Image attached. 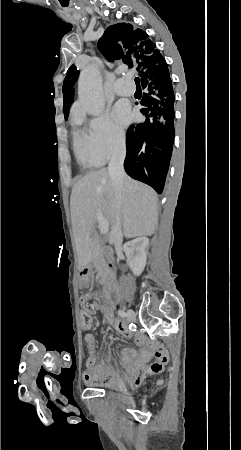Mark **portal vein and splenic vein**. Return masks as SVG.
<instances>
[{
  "mask_svg": "<svg viewBox=\"0 0 241 450\" xmlns=\"http://www.w3.org/2000/svg\"><path fill=\"white\" fill-rule=\"evenodd\" d=\"M101 234H105V232H108L109 230V224L108 222H105V220H103V222H99V226H98Z\"/></svg>",
  "mask_w": 241,
  "mask_h": 450,
  "instance_id": "18ae733b",
  "label": "portal vein and splenic vein"
}]
</instances>
